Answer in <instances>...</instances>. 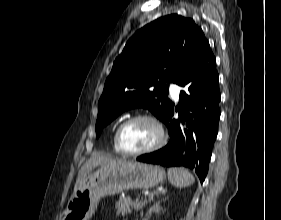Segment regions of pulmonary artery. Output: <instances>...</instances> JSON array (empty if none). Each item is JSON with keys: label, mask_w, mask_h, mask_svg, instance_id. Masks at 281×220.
I'll return each mask as SVG.
<instances>
[{"label": "pulmonary artery", "mask_w": 281, "mask_h": 220, "mask_svg": "<svg viewBox=\"0 0 281 220\" xmlns=\"http://www.w3.org/2000/svg\"><path fill=\"white\" fill-rule=\"evenodd\" d=\"M179 93H180V89L177 85L173 84L170 86V94L175 101L179 99Z\"/></svg>", "instance_id": "obj_1"}]
</instances>
